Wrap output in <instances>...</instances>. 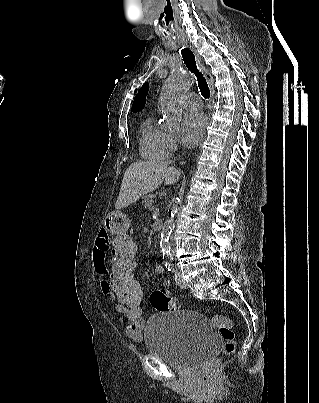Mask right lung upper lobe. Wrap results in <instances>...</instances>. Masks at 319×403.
I'll list each match as a JSON object with an SVG mask.
<instances>
[{"mask_svg": "<svg viewBox=\"0 0 319 403\" xmlns=\"http://www.w3.org/2000/svg\"><path fill=\"white\" fill-rule=\"evenodd\" d=\"M148 88H149V83L143 84V86L140 88V90H139L138 94L136 95L135 100L133 101V104H132L133 112H138L141 109H143V107L145 106Z\"/></svg>", "mask_w": 319, "mask_h": 403, "instance_id": "1", "label": "right lung upper lobe"}]
</instances>
